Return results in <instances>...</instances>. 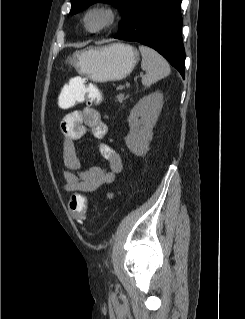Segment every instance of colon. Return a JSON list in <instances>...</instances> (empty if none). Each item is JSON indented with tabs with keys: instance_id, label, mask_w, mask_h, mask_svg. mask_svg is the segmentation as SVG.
<instances>
[{
	"instance_id": "1",
	"label": "colon",
	"mask_w": 245,
	"mask_h": 319,
	"mask_svg": "<svg viewBox=\"0 0 245 319\" xmlns=\"http://www.w3.org/2000/svg\"><path fill=\"white\" fill-rule=\"evenodd\" d=\"M62 91V90H61ZM61 93V92H60ZM101 99V92L97 86L92 82L83 80V84L80 86L78 93L75 95L73 100H68L66 104L61 105L63 109L75 106L77 104L87 101L89 104L98 103ZM69 211L72 216L82 221L85 219L87 200L80 194H73L68 201Z\"/></svg>"
}]
</instances>
